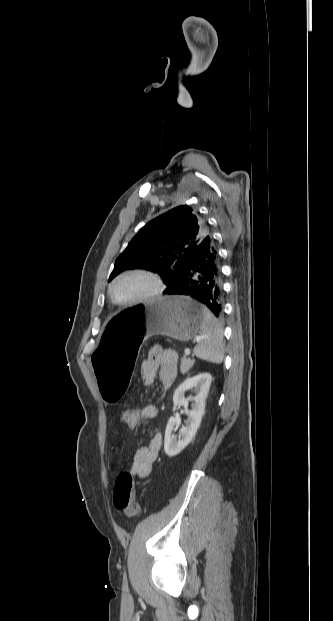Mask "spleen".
I'll use <instances>...</instances> for the list:
<instances>
[{
  "label": "spleen",
  "mask_w": 333,
  "mask_h": 621,
  "mask_svg": "<svg viewBox=\"0 0 333 621\" xmlns=\"http://www.w3.org/2000/svg\"><path fill=\"white\" fill-rule=\"evenodd\" d=\"M203 338L195 346L194 355L204 361L220 364L224 359L223 329L220 322L207 309L200 327Z\"/></svg>",
  "instance_id": "obj_1"
}]
</instances>
